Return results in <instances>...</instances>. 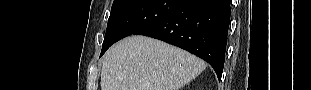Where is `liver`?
Masks as SVG:
<instances>
[{
    "instance_id": "1",
    "label": "liver",
    "mask_w": 311,
    "mask_h": 90,
    "mask_svg": "<svg viewBox=\"0 0 311 90\" xmlns=\"http://www.w3.org/2000/svg\"><path fill=\"white\" fill-rule=\"evenodd\" d=\"M206 66L200 58L160 40L130 36L107 51L101 90H180Z\"/></svg>"
}]
</instances>
